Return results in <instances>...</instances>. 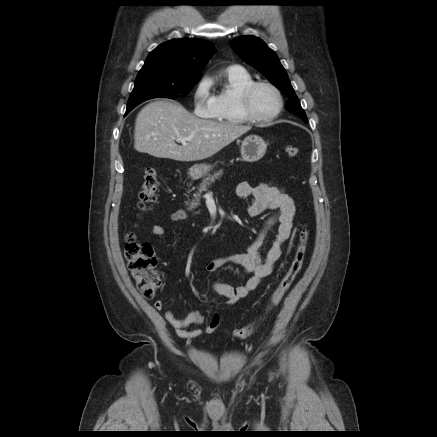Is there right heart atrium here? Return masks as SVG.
I'll return each instance as SVG.
<instances>
[{
	"mask_svg": "<svg viewBox=\"0 0 437 437\" xmlns=\"http://www.w3.org/2000/svg\"><path fill=\"white\" fill-rule=\"evenodd\" d=\"M194 112L204 118L213 117L216 111L215 96L210 91L208 80H201L193 94Z\"/></svg>",
	"mask_w": 437,
	"mask_h": 437,
	"instance_id": "obj_1",
	"label": "right heart atrium"
}]
</instances>
